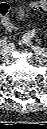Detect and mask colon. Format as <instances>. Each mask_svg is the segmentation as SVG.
Listing matches in <instances>:
<instances>
[{
	"label": "colon",
	"instance_id": "colon-1",
	"mask_svg": "<svg viewBox=\"0 0 47 129\" xmlns=\"http://www.w3.org/2000/svg\"><path fill=\"white\" fill-rule=\"evenodd\" d=\"M31 4L32 7L38 11H44L47 7L46 0H34ZM0 16L3 26L9 32H12L14 30V26L9 17V6L6 3L0 4ZM23 40L26 44L31 43V38L29 36H25Z\"/></svg>",
	"mask_w": 47,
	"mask_h": 129
}]
</instances>
